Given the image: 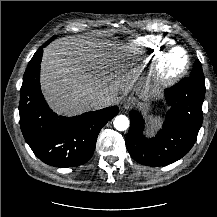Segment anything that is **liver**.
Segmentation results:
<instances>
[{"instance_id":"1","label":"liver","mask_w":217,"mask_h":217,"mask_svg":"<svg viewBox=\"0 0 217 217\" xmlns=\"http://www.w3.org/2000/svg\"><path fill=\"white\" fill-rule=\"evenodd\" d=\"M128 68V63L105 50L102 43L67 36L45 48L41 87L56 113L74 116L91 110L87 102L91 95L111 98L114 104L119 94H128L138 77Z\"/></svg>"}]
</instances>
